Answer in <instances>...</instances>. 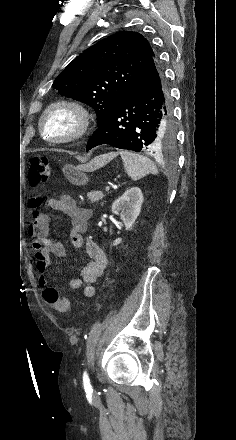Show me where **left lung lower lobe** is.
I'll use <instances>...</instances> for the list:
<instances>
[{
    "instance_id": "obj_1",
    "label": "left lung lower lobe",
    "mask_w": 236,
    "mask_h": 440,
    "mask_svg": "<svg viewBox=\"0 0 236 440\" xmlns=\"http://www.w3.org/2000/svg\"><path fill=\"white\" fill-rule=\"evenodd\" d=\"M173 138L170 91L163 70L154 58L98 126L86 150L109 144L136 152L152 151L172 142Z\"/></svg>"
}]
</instances>
